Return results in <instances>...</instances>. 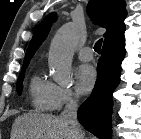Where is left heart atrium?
<instances>
[{
    "instance_id": "1",
    "label": "left heart atrium",
    "mask_w": 141,
    "mask_h": 139,
    "mask_svg": "<svg viewBox=\"0 0 141 139\" xmlns=\"http://www.w3.org/2000/svg\"><path fill=\"white\" fill-rule=\"evenodd\" d=\"M77 89L82 94H88L97 81L96 69L91 65H82L76 71Z\"/></svg>"
}]
</instances>
